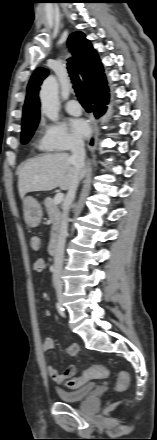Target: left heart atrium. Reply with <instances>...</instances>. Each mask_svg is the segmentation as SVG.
Here are the masks:
<instances>
[{"mask_svg":"<svg viewBox=\"0 0 157 440\" xmlns=\"http://www.w3.org/2000/svg\"><path fill=\"white\" fill-rule=\"evenodd\" d=\"M70 127L72 132L79 138H88L91 134L90 125L87 121L80 118L70 120Z\"/></svg>","mask_w":157,"mask_h":440,"instance_id":"1","label":"left heart atrium"}]
</instances>
